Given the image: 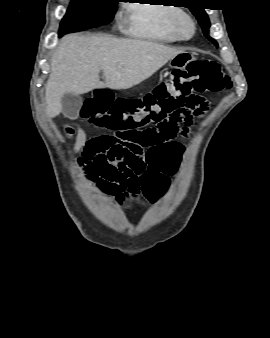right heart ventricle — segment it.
<instances>
[{
  "mask_svg": "<svg viewBox=\"0 0 270 338\" xmlns=\"http://www.w3.org/2000/svg\"><path fill=\"white\" fill-rule=\"evenodd\" d=\"M162 4V5H161ZM173 4L154 0L149 4L134 3L129 6L131 35L156 42H175L172 20L180 12Z\"/></svg>",
  "mask_w": 270,
  "mask_h": 338,
  "instance_id": "obj_1",
  "label": "right heart ventricle"
}]
</instances>
